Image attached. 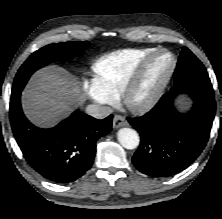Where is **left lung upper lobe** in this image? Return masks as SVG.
Masks as SVG:
<instances>
[{"instance_id":"1","label":"left lung upper lobe","mask_w":222,"mask_h":219,"mask_svg":"<svg viewBox=\"0 0 222 219\" xmlns=\"http://www.w3.org/2000/svg\"><path fill=\"white\" fill-rule=\"evenodd\" d=\"M174 87H196L213 91L207 71L200 60L186 47L182 49L174 72Z\"/></svg>"}]
</instances>
